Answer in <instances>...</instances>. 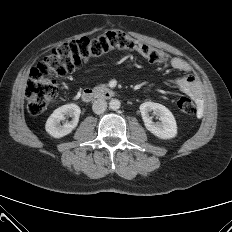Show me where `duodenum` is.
<instances>
[{
    "label": "duodenum",
    "mask_w": 232,
    "mask_h": 232,
    "mask_svg": "<svg viewBox=\"0 0 232 232\" xmlns=\"http://www.w3.org/2000/svg\"><path fill=\"white\" fill-rule=\"evenodd\" d=\"M115 94L112 89L108 88H89L82 92L81 98L87 103L97 99H111Z\"/></svg>",
    "instance_id": "410a0bca"
}]
</instances>
